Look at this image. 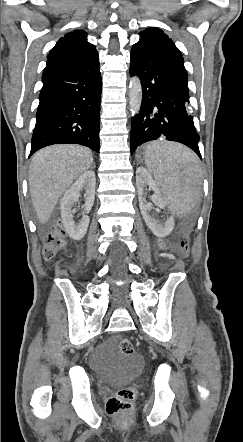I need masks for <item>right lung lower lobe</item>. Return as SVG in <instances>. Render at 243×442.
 Here are the masks:
<instances>
[{"instance_id": "obj_1", "label": "right lung lower lobe", "mask_w": 243, "mask_h": 442, "mask_svg": "<svg viewBox=\"0 0 243 442\" xmlns=\"http://www.w3.org/2000/svg\"><path fill=\"white\" fill-rule=\"evenodd\" d=\"M99 55L44 70L31 153L53 144L99 152L102 81Z\"/></svg>"}]
</instances>
